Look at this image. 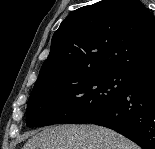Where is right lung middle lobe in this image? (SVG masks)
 Wrapping results in <instances>:
<instances>
[{"label": "right lung middle lobe", "instance_id": "dd1d6c3e", "mask_svg": "<svg viewBox=\"0 0 155 149\" xmlns=\"http://www.w3.org/2000/svg\"><path fill=\"white\" fill-rule=\"evenodd\" d=\"M129 72H76L35 83L26 109V125L88 123L129 88Z\"/></svg>", "mask_w": 155, "mask_h": 149}]
</instances>
